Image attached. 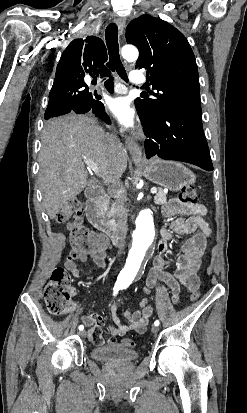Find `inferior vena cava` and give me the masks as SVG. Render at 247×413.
<instances>
[{"instance_id":"obj_1","label":"inferior vena cava","mask_w":247,"mask_h":413,"mask_svg":"<svg viewBox=\"0 0 247 413\" xmlns=\"http://www.w3.org/2000/svg\"><path fill=\"white\" fill-rule=\"evenodd\" d=\"M106 136L108 140H110V142H113V144H120V140L118 136H116L115 132H108ZM120 176L121 174H114V180H112L113 186H115L113 190V196L117 202V207H119V211H120L119 213L120 219H118V223H117L118 229H119V235H120V241L118 245V249H120L119 255H121L125 247L124 233H126L127 231V221L125 217L126 213L123 209V204L125 202V196H123L121 188H118Z\"/></svg>"}]
</instances>
